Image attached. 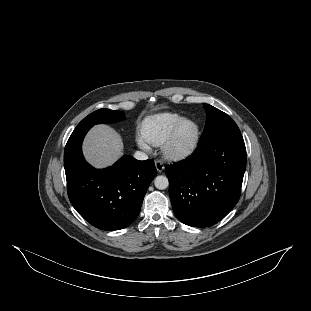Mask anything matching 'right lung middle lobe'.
Returning a JSON list of instances; mask_svg holds the SVG:
<instances>
[{
	"instance_id": "1",
	"label": "right lung middle lobe",
	"mask_w": 311,
	"mask_h": 311,
	"mask_svg": "<svg viewBox=\"0 0 311 311\" xmlns=\"http://www.w3.org/2000/svg\"><path fill=\"white\" fill-rule=\"evenodd\" d=\"M124 119V113L110 109H99L84 118L76 128L92 127L95 124L113 123Z\"/></svg>"
}]
</instances>
